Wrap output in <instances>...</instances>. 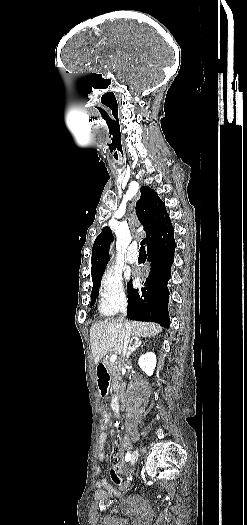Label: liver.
Listing matches in <instances>:
<instances>
[{
	"instance_id": "6515ba94",
	"label": "liver",
	"mask_w": 247,
	"mask_h": 525,
	"mask_svg": "<svg viewBox=\"0 0 247 525\" xmlns=\"http://www.w3.org/2000/svg\"><path fill=\"white\" fill-rule=\"evenodd\" d=\"M125 325H129L134 337H155L161 333L163 327L157 323H141V321H125L122 317L118 319H106L92 325L90 329V343L95 365L106 357L107 353L114 351L121 355L123 349V337L126 331Z\"/></svg>"
}]
</instances>
